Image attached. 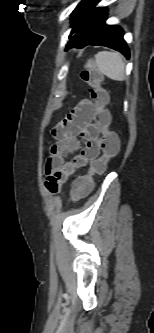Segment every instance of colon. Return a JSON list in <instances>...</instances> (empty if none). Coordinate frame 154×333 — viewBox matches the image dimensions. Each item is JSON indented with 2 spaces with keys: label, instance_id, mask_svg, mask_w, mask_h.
Returning a JSON list of instances; mask_svg holds the SVG:
<instances>
[{
  "label": "colon",
  "instance_id": "5ec220e1",
  "mask_svg": "<svg viewBox=\"0 0 154 333\" xmlns=\"http://www.w3.org/2000/svg\"><path fill=\"white\" fill-rule=\"evenodd\" d=\"M81 79L90 88V97L96 105L95 120L102 133V154L89 164L84 175L78 176L71 185L70 197L73 202L80 200L90 193L93 187V178L106 171L108 162L115 157L120 149L118 135L110 129L111 115L106 109L108 94L101 86L103 76L100 71L88 64L81 72Z\"/></svg>",
  "mask_w": 154,
  "mask_h": 333
}]
</instances>
